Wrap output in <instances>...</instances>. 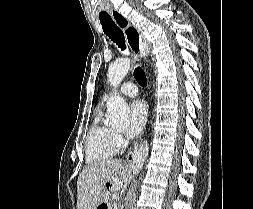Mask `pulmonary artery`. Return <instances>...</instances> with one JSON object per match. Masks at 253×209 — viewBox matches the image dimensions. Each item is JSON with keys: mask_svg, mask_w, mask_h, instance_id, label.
I'll list each match as a JSON object with an SVG mask.
<instances>
[{"mask_svg": "<svg viewBox=\"0 0 253 209\" xmlns=\"http://www.w3.org/2000/svg\"><path fill=\"white\" fill-rule=\"evenodd\" d=\"M119 92L122 94V95H125V96H129V97H133L137 94V87L134 83L132 82H126L124 83L120 89H119ZM107 96H105L104 99H106Z\"/></svg>", "mask_w": 253, "mask_h": 209, "instance_id": "e3ab8cb5", "label": "pulmonary artery"}]
</instances>
